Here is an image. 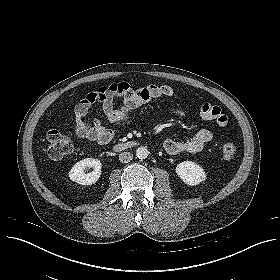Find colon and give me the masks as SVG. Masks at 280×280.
Segmentation results:
<instances>
[{
  "instance_id": "obj_1",
  "label": "colon",
  "mask_w": 280,
  "mask_h": 280,
  "mask_svg": "<svg viewBox=\"0 0 280 280\" xmlns=\"http://www.w3.org/2000/svg\"><path fill=\"white\" fill-rule=\"evenodd\" d=\"M120 84V83H116ZM115 85V84H112ZM130 94H127L129 96ZM202 116L206 119L215 121L219 126L225 127L228 124V116L222 113L220 107L205 104L201 108ZM91 137L94 139L102 138L103 142L110 141L109 131L93 130ZM48 156L53 159H59L73 151V146L67 136L57 129L47 133ZM236 154V146L233 143H226L222 147V157L224 160H231Z\"/></svg>"
}]
</instances>
